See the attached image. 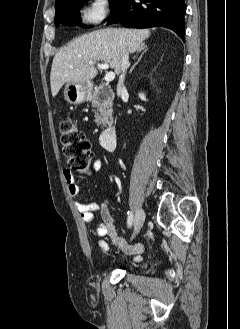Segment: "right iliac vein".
I'll use <instances>...</instances> for the list:
<instances>
[{
    "label": "right iliac vein",
    "instance_id": "63e3f726",
    "mask_svg": "<svg viewBox=\"0 0 240 329\" xmlns=\"http://www.w3.org/2000/svg\"><path fill=\"white\" fill-rule=\"evenodd\" d=\"M145 220V212L142 209H138L134 219V231L132 239L139 233Z\"/></svg>",
    "mask_w": 240,
    "mask_h": 329
}]
</instances>
